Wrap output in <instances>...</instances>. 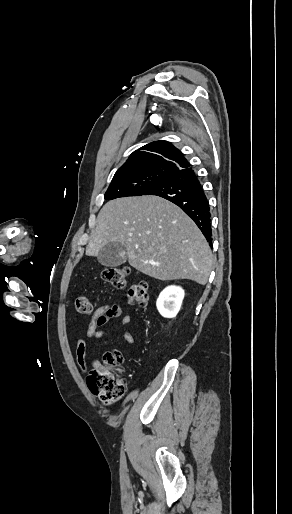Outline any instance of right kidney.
Returning a JSON list of instances; mask_svg holds the SVG:
<instances>
[{
	"label": "right kidney",
	"instance_id": "right-kidney-1",
	"mask_svg": "<svg viewBox=\"0 0 292 514\" xmlns=\"http://www.w3.org/2000/svg\"><path fill=\"white\" fill-rule=\"evenodd\" d=\"M184 290L179 286H168L161 292L157 300V310L164 318L177 316L184 298Z\"/></svg>",
	"mask_w": 292,
	"mask_h": 514
}]
</instances>
